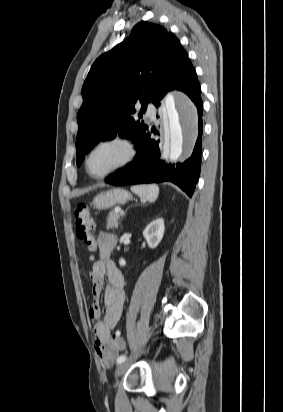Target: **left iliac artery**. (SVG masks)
I'll return each mask as SVG.
<instances>
[{
  "label": "left iliac artery",
  "mask_w": 283,
  "mask_h": 412,
  "mask_svg": "<svg viewBox=\"0 0 283 412\" xmlns=\"http://www.w3.org/2000/svg\"><path fill=\"white\" fill-rule=\"evenodd\" d=\"M126 360V356L125 355H121L118 357L117 359V363L120 364L122 362H124Z\"/></svg>",
  "instance_id": "44dca946"
}]
</instances>
